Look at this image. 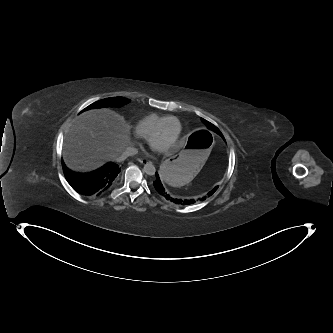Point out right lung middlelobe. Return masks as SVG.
Listing matches in <instances>:
<instances>
[{
	"label": "right lung middle lobe",
	"instance_id": "right-lung-middle-lobe-1",
	"mask_svg": "<svg viewBox=\"0 0 333 333\" xmlns=\"http://www.w3.org/2000/svg\"><path fill=\"white\" fill-rule=\"evenodd\" d=\"M130 100L123 98V97H112V98H106L99 100L91 105H89L85 110H89L92 108H101V107H107V106H123L126 103H129Z\"/></svg>",
	"mask_w": 333,
	"mask_h": 333
}]
</instances>
